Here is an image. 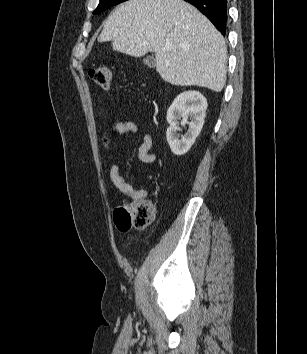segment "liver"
<instances>
[{"mask_svg": "<svg viewBox=\"0 0 307 354\" xmlns=\"http://www.w3.org/2000/svg\"><path fill=\"white\" fill-rule=\"evenodd\" d=\"M142 57L154 52L156 70L172 85L220 92L226 81L227 49L214 25L183 0H129L107 19L98 42ZM170 45L166 51L165 46Z\"/></svg>", "mask_w": 307, "mask_h": 354, "instance_id": "1", "label": "liver"}]
</instances>
